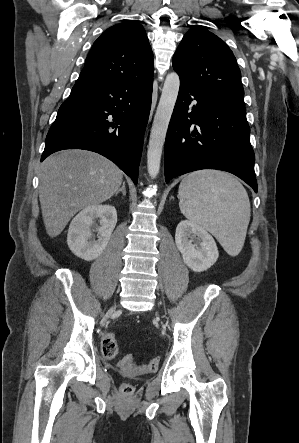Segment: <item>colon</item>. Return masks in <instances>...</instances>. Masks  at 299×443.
I'll use <instances>...</instances> for the list:
<instances>
[{"mask_svg":"<svg viewBox=\"0 0 299 443\" xmlns=\"http://www.w3.org/2000/svg\"><path fill=\"white\" fill-rule=\"evenodd\" d=\"M101 349L105 357L113 359L118 355V342L113 333H106L101 339ZM119 366L136 373L155 372L159 365L157 358L151 359L143 364H136L130 354L123 356L119 362ZM134 387L130 383H123L120 391L124 396H130L133 393Z\"/></svg>","mask_w":299,"mask_h":443,"instance_id":"1","label":"colon"}]
</instances>
